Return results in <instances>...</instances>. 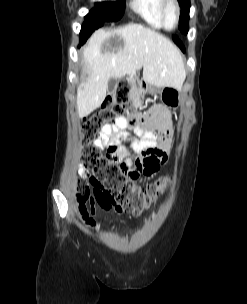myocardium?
Segmentation results:
<instances>
[{
    "mask_svg": "<svg viewBox=\"0 0 247 304\" xmlns=\"http://www.w3.org/2000/svg\"><path fill=\"white\" fill-rule=\"evenodd\" d=\"M169 6H173L176 11V22L173 27H168L167 21H166V13H167V9ZM180 15H181V7H180L178 0H162V4L160 7V17H161L163 27L166 30H174L179 25Z\"/></svg>",
    "mask_w": 247,
    "mask_h": 304,
    "instance_id": "1",
    "label": "myocardium"
}]
</instances>
